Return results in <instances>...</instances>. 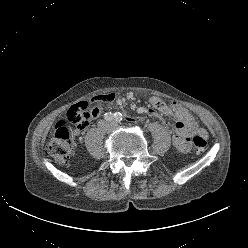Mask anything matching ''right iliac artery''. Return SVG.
I'll return each instance as SVG.
<instances>
[{
	"label": "right iliac artery",
	"instance_id": "right-iliac-artery-1",
	"mask_svg": "<svg viewBox=\"0 0 248 248\" xmlns=\"http://www.w3.org/2000/svg\"><path fill=\"white\" fill-rule=\"evenodd\" d=\"M104 119L107 121H112L114 119V114L111 112L105 113L104 114Z\"/></svg>",
	"mask_w": 248,
	"mask_h": 248
}]
</instances>
